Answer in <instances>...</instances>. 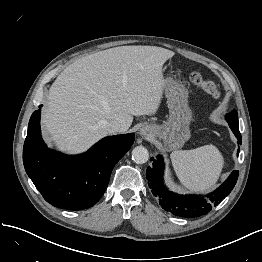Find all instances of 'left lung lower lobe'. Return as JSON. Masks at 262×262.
I'll return each instance as SVG.
<instances>
[{
	"mask_svg": "<svg viewBox=\"0 0 262 262\" xmlns=\"http://www.w3.org/2000/svg\"><path fill=\"white\" fill-rule=\"evenodd\" d=\"M234 135L241 144V134L237 122H228ZM239 153V150L237 151ZM152 166L147 168L146 177L149 181L152 194L158 198L161 207L175 216L193 218L205 215L214 206H217L234 188L238 171H233L227 180L216 190L207 195H179L170 191L164 184L163 172L164 162L162 156L157 159L151 158Z\"/></svg>",
	"mask_w": 262,
	"mask_h": 262,
	"instance_id": "0a47b994",
	"label": "left lung lower lobe"
}]
</instances>
